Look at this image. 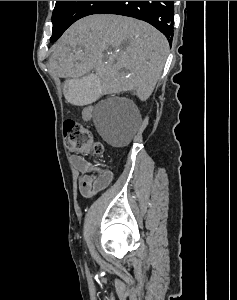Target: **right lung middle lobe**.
Segmentation results:
<instances>
[{
    "label": "right lung middle lobe",
    "mask_w": 237,
    "mask_h": 300,
    "mask_svg": "<svg viewBox=\"0 0 237 300\" xmlns=\"http://www.w3.org/2000/svg\"><path fill=\"white\" fill-rule=\"evenodd\" d=\"M107 1H56L52 14L53 34L56 41L78 19L94 14Z\"/></svg>",
    "instance_id": "dd1d6c3e"
}]
</instances>
